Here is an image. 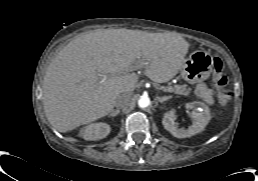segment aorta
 <instances>
[{"instance_id": "1", "label": "aorta", "mask_w": 258, "mask_h": 181, "mask_svg": "<svg viewBox=\"0 0 258 181\" xmlns=\"http://www.w3.org/2000/svg\"><path fill=\"white\" fill-rule=\"evenodd\" d=\"M150 105V98L148 96H141L138 100V106L140 108H146Z\"/></svg>"}]
</instances>
